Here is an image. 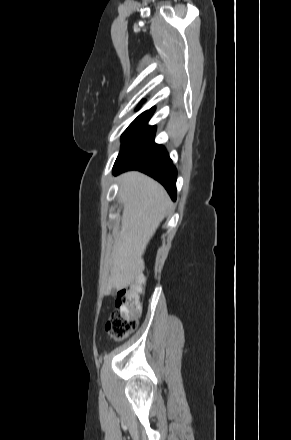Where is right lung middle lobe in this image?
Here are the masks:
<instances>
[{"label": "right lung middle lobe", "instance_id": "obj_1", "mask_svg": "<svg viewBox=\"0 0 291 440\" xmlns=\"http://www.w3.org/2000/svg\"><path fill=\"white\" fill-rule=\"evenodd\" d=\"M147 114V111L143 112L141 115H139L125 130V132L122 134L121 141L122 146L125 144V142L128 140V138L132 135V133L136 130L142 119Z\"/></svg>", "mask_w": 291, "mask_h": 440}]
</instances>
